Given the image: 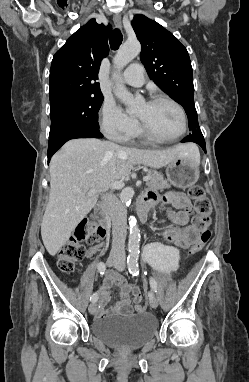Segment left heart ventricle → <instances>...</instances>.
<instances>
[{
  "label": "left heart ventricle",
  "mask_w": 249,
  "mask_h": 382,
  "mask_svg": "<svg viewBox=\"0 0 249 382\" xmlns=\"http://www.w3.org/2000/svg\"><path fill=\"white\" fill-rule=\"evenodd\" d=\"M136 116L160 137H175L182 129L179 112L168 102L144 103L138 108Z\"/></svg>",
  "instance_id": "1"
}]
</instances>
